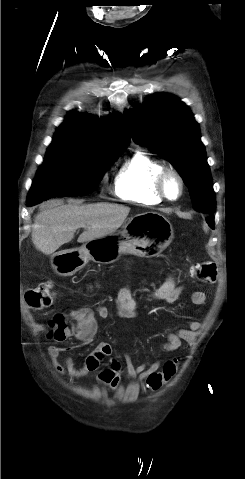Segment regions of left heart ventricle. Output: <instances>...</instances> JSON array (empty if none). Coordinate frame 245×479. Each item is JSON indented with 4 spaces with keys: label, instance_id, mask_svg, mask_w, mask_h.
I'll return each mask as SVG.
<instances>
[{
    "label": "left heart ventricle",
    "instance_id": "b2bd125f",
    "mask_svg": "<svg viewBox=\"0 0 245 479\" xmlns=\"http://www.w3.org/2000/svg\"><path fill=\"white\" fill-rule=\"evenodd\" d=\"M167 193L170 197L174 198L179 193V184L175 179H170L167 183Z\"/></svg>",
    "mask_w": 245,
    "mask_h": 479
}]
</instances>
